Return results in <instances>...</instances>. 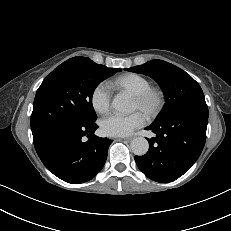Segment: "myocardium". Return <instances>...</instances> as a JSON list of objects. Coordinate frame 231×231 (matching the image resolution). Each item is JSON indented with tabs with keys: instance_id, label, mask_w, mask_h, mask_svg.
Returning <instances> with one entry per match:
<instances>
[{
	"instance_id": "1",
	"label": "myocardium",
	"mask_w": 231,
	"mask_h": 231,
	"mask_svg": "<svg viewBox=\"0 0 231 231\" xmlns=\"http://www.w3.org/2000/svg\"><path fill=\"white\" fill-rule=\"evenodd\" d=\"M139 110L148 118L158 117L166 105V93L158 86H150L142 92L133 94Z\"/></svg>"
}]
</instances>
